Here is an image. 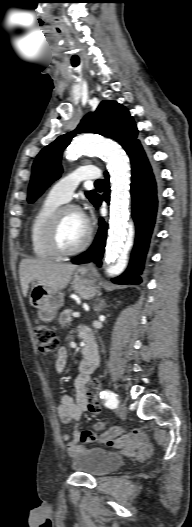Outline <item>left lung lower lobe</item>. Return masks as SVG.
<instances>
[{
    "label": "left lung lower lobe",
    "mask_w": 192,
    "mask_h": 527,
    "mask_svg": "<svg viewBox=\"0 0 192 527\" xmlns=\"http://www.w3.org/2000/svg\"><path fill=\"white\" fill-rule=\"evenodd\" d=\"M131 159V194H132V216L136 225V240L128 269L112 281L116 284H140L141 274L147 252L150 236L155 222L157 211L156 182L151 166L140 143L136 144L127 153ZM104 200L109 202V177L106 172ZM101 197L97 198L96 207L101 204ZM99 231L92 246L81 255L72 259L74 264L89 262L96 257L99 262L105 249L107 225L101 218L99 220Z\"/></svg>",
    "instance_id": "0a47b994"
}]
</instances>
